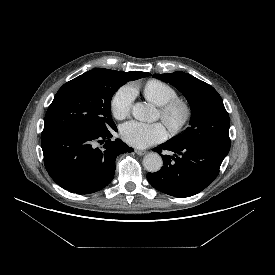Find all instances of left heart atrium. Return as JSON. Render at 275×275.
<instances>
[{"label": "left heart atrium", "instance_id": "39dd6f15", "mask_svg": "<svg viewBox=\"0 0 275 275\" xmlns=\"http://www.w3.org/2000/svg\"><path fill=\"white\" fill-rule=\"evenodd\" d=\"M122 139L136 148H146L164 141L167 138V130L161 123H143L130 121L122 125L120 129Z\"/></svg>", "mask_w": 275, "mask_h": 275}]
</instances>
